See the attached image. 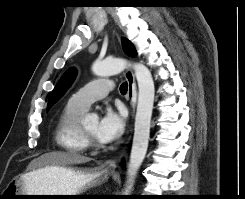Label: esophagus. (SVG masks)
I'll return each instance as SVG.
<instances>
[{
  "mask_svg": "<svg viewBox=\"0 0 245 199\" xmlns=\"http://www.w3.org/2000/svg\"><path fill=\"white\" fill-rule=\"evenodd\" d=\"M125 78L128 82L127 99L131 105L132 113L134 114L135 105L137 101V88H136L135 76L130 68L126 70ZM117 162H118V158L108 159L102 164L101 168L105 171L114 170L117 166Z\"/></svg>",
  "mask_w": 245,
  "mask_h": 199,
  "instance_id": "esophagus-1",
  "label": "esophagus"
}]
</instances>
